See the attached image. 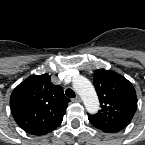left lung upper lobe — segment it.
I'll list each match as a JSON object with an SVG mask.
<instances>
[{"label":"left lung upper lobe","mask_w":145,"mask_h":145,"mask_svg":"<svg viewBox=\"0 0 145 145\" xmlns=\"http://www.w3.org/2000/svg\"><path fill=\"white\" fill-rule=\"evenodd\" d=\"M94 86L101 110L88 114L90 123L99 130L116 133L132 120L137 109V97L133 85L122 75L105 69L94 73Z\"/></svg>","instance_id":"1"}]
</instances>
